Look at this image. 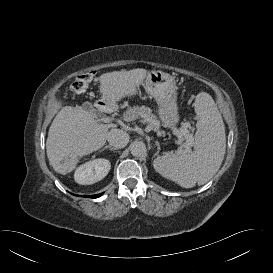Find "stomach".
Masks as SVG:
<instances>
[{"label":"stomach","instance_id":"stomach-1","mask_svg":"<svg viewBox=\"0 0 273 273\" xmlns=\"http://www.w3.org/2000/svg\"><path fill=\"white\" fill-rule=\"evenodd\" d=\"M158 103V114L164 127L172 128L179 121L175 78L160 70L148 72L141 83Z\"/></svg>","mask_w":273,"mask_h":273}]
</instances>
